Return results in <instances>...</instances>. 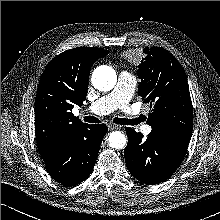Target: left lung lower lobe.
<instances>
[{"label": "left lung lower lobe", "instance_id": "obj_1", "mask_svg": "<svg viewBox=\"0 0 220 220\" xmlns=\"http://www.w3.org/2000/svg\"><path fill=\"white\" fill-rule=\"evenodd\" d=\"M125 130L128 136L125 161L136 179L158 184L173 175L183 160L190 139L161 130H152L147 139H143V135L132 128Z\"/></svg>", "mask_w": 220, "mask_h": 220}]
</instances>
